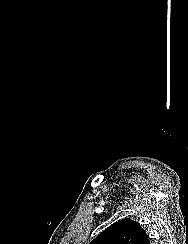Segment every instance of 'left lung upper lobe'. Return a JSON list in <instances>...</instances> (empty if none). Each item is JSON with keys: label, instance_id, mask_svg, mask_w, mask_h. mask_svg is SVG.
<instances>
[{"label": "left lung upper lobe", "instance_id": "obj_1", "mask_svg": "<svg viewBox=\"0 0 188 244\" xmlns=\"http://www.w3.org/2000/svg\"><path fill=\"white\" fill-rule=\"evenodd\" d=\"M90 244H149V238L137 222L122 219L102 231Z\"/></svg>", "mask_w": 188, "mask_h": 244}]
</instances>
